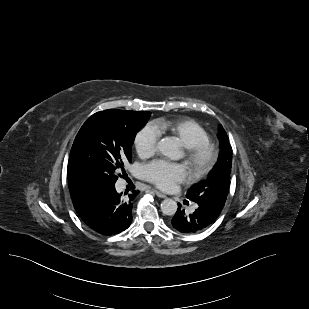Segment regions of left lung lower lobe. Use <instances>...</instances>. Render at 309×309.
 Returning <instances> with one entry per match:
<instances>
[{"instance_id":"obj_1","label":"left lung lower lobe","mask_w":309,"mask_h":309,"mask_svg":"<svg viewBox=\"0 0 309 309\" xmlns=\"http://www.w3.org/2000/svg\"><path fill=\"white\" fill-rule=\"evenodd\" d=\"M181 207L180 204H178ZM221 208L197 203V209L188 215L185 209H178L172 218V226L182 234L199 233L210 227L220 216Z\"/></svg>"}]
</instances>
